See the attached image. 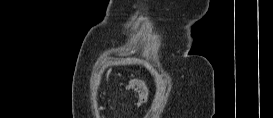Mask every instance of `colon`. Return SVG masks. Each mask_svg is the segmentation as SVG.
Here are the masks:
<instances>
[{
	"mask_svg": "<svg viewBox=\"0 0 273 118\" xmlns=\"http://www.w3.org/2000/svg\"><path fill=\"white\" fill-rule=\"evenodd\" d=\"M129 88L137 94L139 106L146 103L148 99V91L141 79L132 78L129 81Z\"/></svg>",
	"mask_w": 273,
	"mask_h": 118,
	"instance_id": "colon-1",
	"label": "colon"
}]
</instances>
